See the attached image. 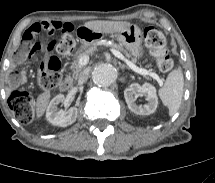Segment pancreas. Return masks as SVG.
<instances>
[{
  "label": "pancreas",
  "instance_id": "1",
  "mask_svg": "<svg viewBox=\"0 0 215 183\" xmlns=\"http://www.w3.org/2000/svg\"><path fill=\"white\" fill-rule=\"evenodd\" d=\"M103 45L110 46L117 51L123 52L128 57L130 56L128 54V52L121 45H117L115 43H111V44L103 43ZM96 49H97V44H93L92 46L87 48L85 51H82L75 56V59L73 60V62L71 64L72 78L76 79L78 77L79 73L84 69V67L82 65H80V63H79L80 58H82L83 56H89Z\"/></svg>",
  "mask_w": 215,
  "mask_h": 183
}]
</instances>
